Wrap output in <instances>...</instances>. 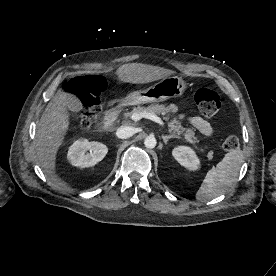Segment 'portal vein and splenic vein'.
<instances>
[{"mask_svg": "<svg viewBox=\"0 0 276 276\" xmlns=\"http://www.w3.org/2000/svg\"><path fill=\"white\" fill-rule=\"evenodd\" d=\"M142 118L150 119L158 123L159 125L164 126V122L162 121V119L153 113H149V112L133 113L131 116V119L133 121H139Z\"/></svg>", "mask_w": 276, "mask_h": 276, "instance_id": "18ae733b", "label": "portal vein and splenic vein"}]
</instances>
